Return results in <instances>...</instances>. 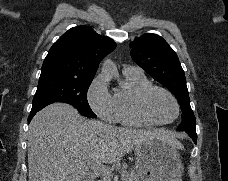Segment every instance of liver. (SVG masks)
Returning <instances> with one entry per match:
<instances>
[{"instance_id":"1","label":"liver","mask_w":228,"mask_h":181,"mask_svg":"<svg viewBox=\"0 0 228 181\" xmlns=\"http://www.w3.org/2000/svg\"><path fill=\"white\" fill-rule=\"evenodd\" d=\"M28 135L29 181H82L90 167L118 163L149 137H163L176 149H184L169 131L118 129L102 121H86L66 103L39 111Z\"/></svg>"}]
</instances>
